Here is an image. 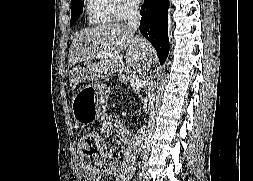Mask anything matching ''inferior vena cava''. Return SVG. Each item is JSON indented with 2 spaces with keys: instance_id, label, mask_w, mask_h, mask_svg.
<instances>
[{
  "instance_id": "1",
  "label": "inferior vena cava",
  "mask_w": 253,
  "mask_h": 181,
  "mask_svg": "<svg viewBox=\"0 0 253 181\" xmlns=\"http://www.w3.org/2000/svg\"><path fill=\"white\" fill-rule=\"evenodd\" d=\"M126 17L128 20V26H130L133 30H137L139 28V23H140V12H139V7L136 3H130L127 8H126ZM145 44L140 41L139 43V49L143 52L145 51ZM148 68L150 67L149 64H147ZM146 69L145 73L149 70ZM152 79V77H147L146 81L144 82V85L147 87L148 90V96H149V109H150V113H151V119L148 122L149 127L146 130V133L149 135L148 138H150L151 134L154 131V128L156 127V103L154 102V98L152 97L151 94V85H152V81H150Z\"/></svg>"
}]
</instances>
